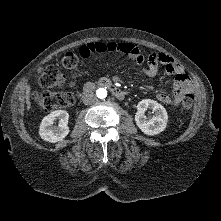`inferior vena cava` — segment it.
<instances>
[{"instance_id":"1","label":"inferior vena cava","mask_w":221,"mask_h":221,"mask_svg":"<svg viewBox=\"0 0 221 221\" xmlns=\"http://www.w3.org/2000/svg\"><path fill=\"white\" fill-rule=\"evenodd\" d=\"M82 101L86 105L92 104L96 101V95L93 92H86L82 96Z\"/></svg>"}]
</instances>
